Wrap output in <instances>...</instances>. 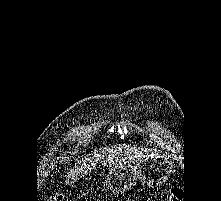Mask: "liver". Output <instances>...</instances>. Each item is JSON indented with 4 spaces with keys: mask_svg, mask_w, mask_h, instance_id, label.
I'll use <instances>...</instances> for the list:
<instances>
[{
    "mask_svg": "<svg viewBox=\"0 0 221 201\" xmlns=\"http://www.w3.org/2000/svg\"><path fill=\"white\" fill-rule=\"evenodd\" d=\"M147 156H150L148 150L130 147L125 144L95 150L75 164L74 168L71 169L66 176V183L77 181L94 169L98 162L103 166H118L132 163L135 160L143 159Z\"/></svg>",
    "mask_w": 221,
    "mask_h": 201,
    "instance_id": "1",
    "label": "liver"
}]
</instances>
